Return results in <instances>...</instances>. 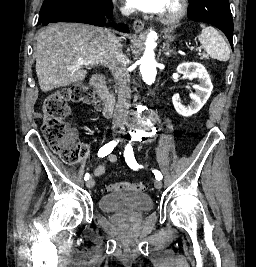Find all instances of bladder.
I'll list each match as a JSON object with an SVG mask.
<instances>
[{"label":"bladder","instance_id":"obj_1","mask_svg":"<svg viewBox=\"0 0 256 267\" xmlns=\"http://www.w3.org/2000/svg\"><path fill=\"white\" fill-rule=\"evenodd\" d=\"M99 206L105 212H146L152 208L149 195L106 194L99 199Z\"/></svg>","mask_w":256,"mask_h":267}]
</instances>
